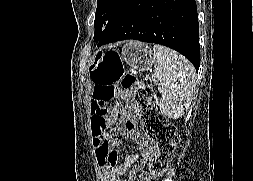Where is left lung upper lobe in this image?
Here are the masks:
<instances>
[{
	"label": "left lung upper lobe",
	"instance_id": "5c2ea615",
	"mask_svg": "<svg viewBox=\"0 0 253 181\" xmlns=\"http://www.w3.org/2000/svg\"><path fill=\"white\" fill-rule=\"evenodd\" d=\"M131 0H97L94 40L98 41L116 23Z\"/></svg>",
	"mask_w": 253,
	"mask_h": 181
}]
</instances>
